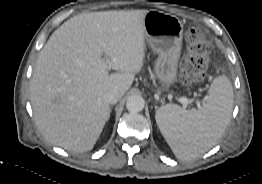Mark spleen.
<instances>
[{
    "mask_svg": "<svg viewBox=\"0 0 262 184\" xmlns=\"http://www.w3.org/2000/svg\"><path fill=\"white\" fill-rule=\"evenodd\" d=\"M234 104L233 88L224 76L214 78L205 102L198 109L185 110L167 104L156 111L157 125L178 159H195L222 137Z\"/></svg>",
    "mask_w": 262,
    "mask_h": 184,
    "instance_id": "spleen-1",
    "label": "spleen"
}]
</instances>
